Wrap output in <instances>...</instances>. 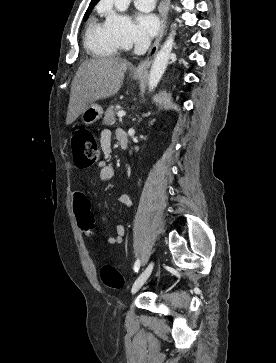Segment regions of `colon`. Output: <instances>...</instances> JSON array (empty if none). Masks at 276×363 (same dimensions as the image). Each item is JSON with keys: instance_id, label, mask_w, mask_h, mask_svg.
<instances>
[{"instance_id": "colon-1", "label": "colon", "mask_w": 276, "mask_h": 363, "mask_svg": "<svg viewBox=\"0 0 276 363\" xmlns=\"http://www.w3.org/2000/svg\"><path fill=\"white\" fill-rule=\"evenodd\" d=\"M72 151L76 165L80 168H88L94 165L99 159V147L94 133L86 128L77 129L72 134ZM79 227L82 230L89 229L93 221L78 219ZM100 277L103 283L113 289L122 288L124 278L113 266L105 265L100 270Z\"/></svg>"}]
</instances>
